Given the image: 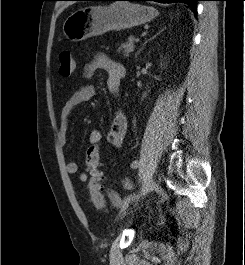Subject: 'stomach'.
Listing matches in <instances>:
<instances>
[{
	"mask_svg": "<svg viewBox=\"0 0 245 265\" xmlns=\"http://www.w3.org/2000/svg\"><path fill=\"white\" fill-rule=\"evenodd\" d=\"M158 11L150 6L117 2L109 6H87L67 17L63 33L73 42L99 36L111 30L130 29L151 21Z\"/></svg>",
	"mask_w": 245,
	"mask_h": 265,
	"instance_id": "0dacf381",
	"label": "stomach"
}]
</instances>
